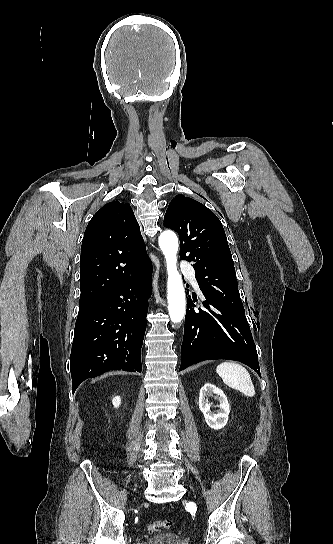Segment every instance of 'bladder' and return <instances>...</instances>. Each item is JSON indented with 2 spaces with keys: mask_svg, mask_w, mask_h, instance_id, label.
<instances>
[{
  "mask_svg": "<svg viewBox=\"0 0 333 544\" xmlns=\"http://www.w3.org/2000/svg\"><path fill=\"white\" fill-rule=\"evenodd\" d=\"M143 544H190L189 541L176 533L167 532L147 538Z\"/></svg>",
  "mask_w": 333,
  "mask_h": 544,
  "instance_id": "bladder-1",
  "label": "bladder"
}]
</instances>
